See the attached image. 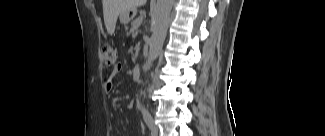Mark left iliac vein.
<instances>
[{
	"instance_id": "1",
	"label": "left iliac vein",
	"mask_w": 325,
	"mask_h": 136,
	"mask_svg": "<svg viewBox=\"0 0 325 136\" xmlns=\"http://www.w3.org/2000/svg\"><path fill=\"white\" fill-rule=\"evenodd\" d=\"M151 134L152 136H158L159 134V129L155 124H153V127L151 128Z\"/></svg>"
}]
</instances>
